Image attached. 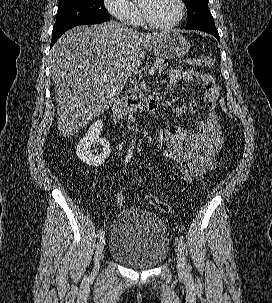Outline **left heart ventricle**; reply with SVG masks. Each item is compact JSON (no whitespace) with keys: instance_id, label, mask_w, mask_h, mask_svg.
Instances as JSON below:
<instances>
[{"instance_id":"1","label":"left heart ventricle","mask_w":272,"mask_h":303,"mask_svg":"<svg viewBox=\"0 0 272 303\" xmlns=\"http://www.w3.org/2000/svg\"><path fill=\"white\" fill-rule=\"evenodd\" d=\"M151 20L159 25L173 22L179 15L177 0H140Z\"/></svg>"}]
</instances>
